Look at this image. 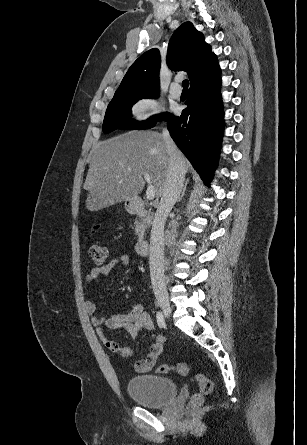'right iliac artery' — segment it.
<instances>
[{"label":"right iliac artery","instance_id":"82829eb1","mask_svg":"<svg viewBox=\"0 0 307 445\" xmlns=\"http://www.w3.org/2000/svg\"><path fill=\"white\" fill-rule=\"evenodd\" d=\"M156 318H157V324H158V326H159L160 328L164 327V326H165V321H164V316H163V314H162L161 311H158V312H157Z\"/></svg>","mask_w":307,"mask_h":445}]
</instances>
